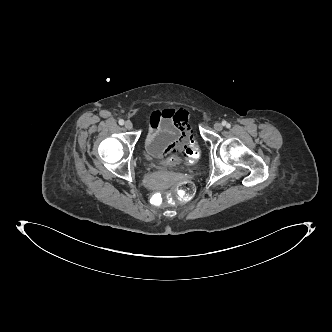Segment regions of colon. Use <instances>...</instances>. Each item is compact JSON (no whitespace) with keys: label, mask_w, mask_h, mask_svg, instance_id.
<instances>
[{"label":"colon","mask_w":332,"mask_h":332,"mask_svg":"<svg viewBox=\"0 0 332 332\" xmlns=\"http://www.w3.org/2000/svg\"><path fill=\"white\" fill-rule=\"evenodd\" d=\"M202 137L200 135H193L186 143V149L182 155L190 162L195 163L200 156L199 146L202 144ZM195 194V186L189 180H184L174 188V196L178 201H188L193 198ZM153 201L156 205L164 203V197L161 194L153 196Z\"/></svg>","instance_id":"1"}]
</instances>
